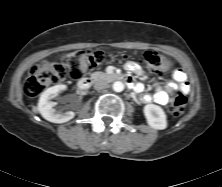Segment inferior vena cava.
Wrapping results in <instances>:
<instances>
[{
  "mask_svg": "<svg viewBox=\"0 0 222 187\" xmlns=\"http://www.w3.org/2000/svg\"><path fill=\"white\" fill-rule=\"evenodd\" d=\"M108 87V83H107V81H105V80H97L96 82H95V84H94V88L96 89V90H103V89H105V88H107Z\"/></svg>",
  "mask_w": 222,
  "mask_h": 187,
  "instance_id": "inferior-vena-cava-1",
  "label": "inferior vena cava"
}]
</instances>
